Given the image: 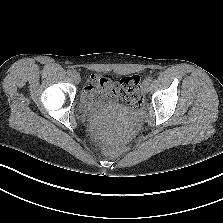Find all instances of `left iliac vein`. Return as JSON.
<instances>
[{
	"instance_id": "left-iliac-vein-1",
	"label": "left iliac vein",
	"mask_w": 223,
	"mask_h": 223,
	"mask_svg": "<svg viewBox=\"0 0 223 223\" xmlns=\"http://www.w3.org/2000/svg\"><path fill=\"white\" fill-rule=\"evenodd\" d=\"M148 91H149V82L145 80L142 83V92L143 94H146L148 93Z\"/></svg>"
}]
</instances>
